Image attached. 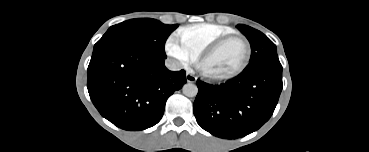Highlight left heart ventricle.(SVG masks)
I'll list each match as a JSON object with an SVG mask.
<instances>
[{"mask_svg":"<svg viewBox=\"0 0 369 152\" xmlns=\"http://www.w3.org/2000/svg\"><path fill=\"white\" fill-rule=\"evenodd\" d=\"M245 53L246 48L242 40H230L204 62V69L216 75L229 74L241 65Z\"/></svg>","mask_w":369,"mask_h":152,"instance_id":"b2bd125f","label":"left heart ventricle"}]
</instances>
